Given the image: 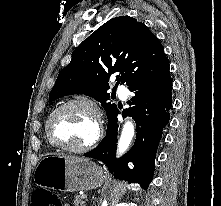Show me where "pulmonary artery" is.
<instances>
[{"label": "pulmonary artery", "instance_id": "1", "mask_svg": "<svg viewBox=\"0 0 221 206\" xmlns=\"http://www.w3.org/2000/svg\"><path fill=\"white\" fill-rule=\"evenodd\" d=\"M118 95L121 99H126L127 98V90L124 87V85H119L118 86Z\"/></svg>", "mask_w": 221, "mask_h": 206}]
</instances>
